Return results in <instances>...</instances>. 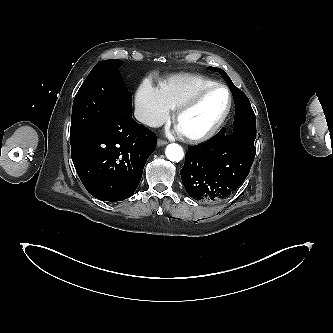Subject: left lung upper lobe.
<instances>
[{
	"label": "left lung upper lobe",
	"mask_w": 333,
	"mask_h": 333,
	"mask_svg": "<svg viewBox=\"0 0 333 333\" xmlns=\"http://www.w3.org/2000/svg\"><path fill=\"white\" fill-rule=\"evenodd\" d=\"M209 69H210L211 71H216V72L220 73L221 76H222V77L228 82L229 86L231 87L232 92H233L234 94H236V95H239V96L243 97V98L246 100L247 104H250V103H249V100H248V98L245 96V94H244L243 92H241L240 89H238L237 87H235V85L232 83V81H231V79L229 78V76H228V75H227L222 69H220V68H216V67H210Z\"/></svg>",
	"instance_id": "left-lung-upper-lobe-1"
}]
</instances>
